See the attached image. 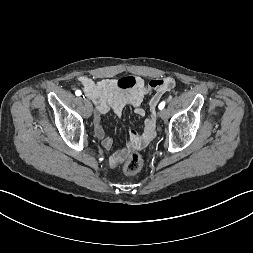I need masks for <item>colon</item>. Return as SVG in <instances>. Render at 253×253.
<instances>
[{
  "instance_id": "obj_1",
  "label": "colon",
  "mask_w": 253,
  "mask_h": 253,
  "mask_svg": "<svg viewBox=\"0 0 253 253\" xmlns=\"http://www.w3.org/2000/svg\"><path fill=\"white\" fill-rule=\"evenodd\" d=\"M143 167V158L138 153L131 154L123 166V171L127 175L138 173Z\"/></svg>"
}]
</instances>
